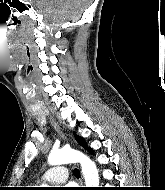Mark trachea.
Here are the masks:
<instances>
[{"label":"trachea","mask_w":165,"mask_h":190,"mask_svg":"<svg viewBox=\"0 0 165 190\" xmlns=\"http://www.w3.org/2000/svg\"><path fill=\"white\" fill-rule=\"evenodd\" d=\"M73 174H74V176L77 177V178L80 177V171H79L78 169H74V170H73Z\"/></svg>","instance_id":"trachea-1"}]
</instances>
